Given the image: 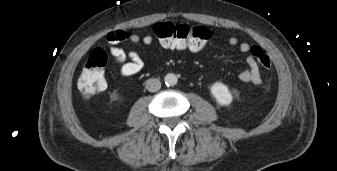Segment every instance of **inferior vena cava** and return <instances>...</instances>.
I'll list each match as a JSON object with an SVG mask.
<instances>
[{"label":"inferior vena cava","instance_id":"inferior-vena-cava-1","mask_svg":"<svg viewBox=\"0 0 337 171\" xmlns=\"http://www.w3.org/2000/svg\"><path fill=\"white\" fill-rule=\"evenodd\" d=\"M146 88L150 92H156L161 88V82L156 78H150L146 81Z\"/></svg>","mask_w":337,"mask_h":171}]
</instances>
